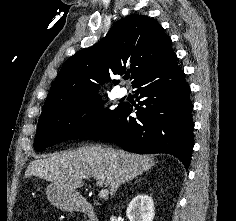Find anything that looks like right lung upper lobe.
I'll return each instance as SVG.
<instances>
[{"instance_id": "1", "label": "right lung upper lobe", "mask_w": 236, "mask_h": 221, "mask_svg": "<svg viewBox=\"0 0 236 221\" xmlns=\"http://www.w3.org/2000/svg\"><path fill=\"white\" fill-rule=\"evenodd\" d=\"M174 55L171 39L160 24L144 15H129L117 21L99 43L67 59L50 89L43 111L97 95L98 83L104 82L109 72L121 75L128 68L134 85L165 66Z\"/></svg>"}]
</instances>
